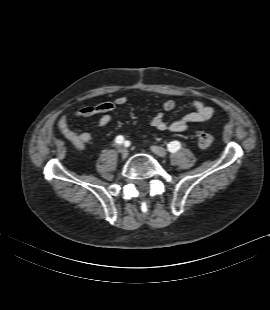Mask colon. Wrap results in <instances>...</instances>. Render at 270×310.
<instances>
[{"label":"colon","instance_id":"obj_1","mask_svg":"<svg viewBox=\"0 0 270 310\" xmlns=\"http://www.w3.org/2000/svg\"><path fill=\"white\" fill-rule=\"evenodd\" d=\"M198 145L202 148H207L212 145L213 137L210 133L201 131L197 135Z\"/></svg>","mask_w":270,"mask_h":310}]
</instances>
